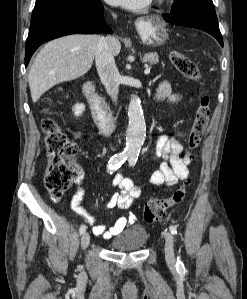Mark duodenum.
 <instances>
[{
  "mask_svg": "<svg viewBox=\"0 0 247 299\" xmlns=\"http://www.w3.org/2000/svg\"><path fill=\"white\" fill-rule=\"evenodd\" d=\"M83 95L89 103L94 120L104 133H109L114 128V119L108 104L98 96L92 82H86L82 87Z\"/></svg>",
  "mask_w": 247,
  "mask_h": 299,
  "instance_id": "1",
  "label": "duodenum"
}]
</instances>
